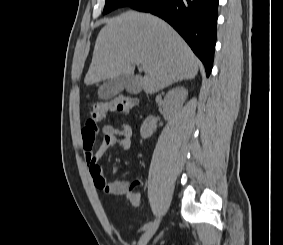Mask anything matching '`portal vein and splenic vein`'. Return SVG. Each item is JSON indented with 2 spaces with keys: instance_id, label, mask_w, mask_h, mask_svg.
I'll use <instances>...</instances> for the list:
<instances>
[{
  "instance_id": "18ae733b",
  "label": "portal vein and splenic vein",
  "mask_w": 283,
  "mask_h": 245,
  "mask_svg": "<svg viewBox=\"0 0 283 245\" xmlns=\"http://www.w3.org/2000/svg\"><path fill=\"white\" fill-rule=\"evenodd\" d=\"M142 68H143V69H145V66H144V65H142Z\"/></svg>"
}]
</instances>
